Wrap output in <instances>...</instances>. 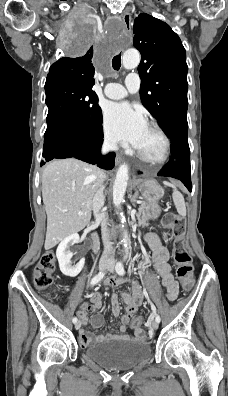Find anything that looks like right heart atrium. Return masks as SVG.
<instances>
[{"label": "right heart atrium", "instance_id": "d8ad5b80", "mask_svg": "<svg viewBox=\"0 0 228 396\" xmlns=\"http://www.w3.org/2000/svg\"><path fill=\"white\" fill-rule=\"evenodd\" d=\"M103 139H104V144L106 145V147L113 149L115 147V143L112 140V138L109 136V134L104 131L103 133Z\"/></svg>", "mask_w": 228, "mask_h": 396}]
</instances>
